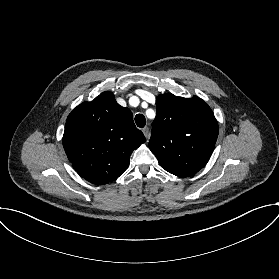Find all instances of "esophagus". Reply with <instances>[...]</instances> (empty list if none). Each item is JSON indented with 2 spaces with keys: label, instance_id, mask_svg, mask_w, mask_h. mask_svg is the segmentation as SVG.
Segmentation results:
<instances>
[{
  "label": "esophagus",
  "instance_id": "esophagus-1",
  "mask_svg": "<svg viewBox=\"0 0 279 279\" xmlns=\"http://www.w3.org/2000/svg\"><path fill=\"white\" fill-rule=\"evenodd\" d=\"M144 136L147 138L149 136V127L146 126L142 129Z\"/></svg>",
  "mask_w": 279,
  "mask_h": 279
}]
</instances>
